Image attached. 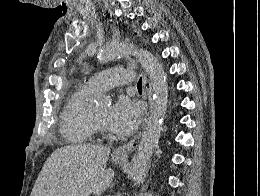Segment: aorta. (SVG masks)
Here are the masks:
<instances>
[{
  "label": "aorta",
  "instance_id": "aorta-1",
  "mask_svg": "<svg viewBox=\"0 0 260 196\" xmlns=\"http://www.w3.org/2000/svg\"><path fill=\"white\" fill-rule=\"evenodd\" d=\"M132 54L137 57L141 66L149 76L153 89V106L141 136L138 151L134 155L132 178L137 185L145 181L150 169L152 155L161 135L163 121L166 116L168 103V84L164 69L158 59L147 50L137 49L125 42H113L98 52L101 63H107L119 56Z\"/></svg>",
  "mask_w": 260,
  "mask_h": 196
}]
</instances>
